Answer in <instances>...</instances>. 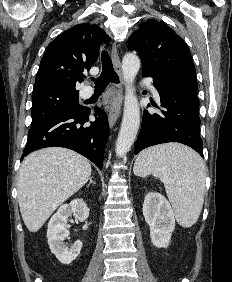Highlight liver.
I'll return each instance as SVG.
<instances>
[{"instance_id": "liver-1", "label": "liver", "mask_w": 232, "mask_h": 282, "mask_svg": "<svg viewBox=\"0 0 232 282\" xmlns=\"http://www.w3.org/2000/svg\"><path fill=\"white\" fill-rule=\"evenodd\" d=\"M91 172L85 157L66 148L50 147L29 154L21 164L17 185L28 230L38 231L59 205L87 183Z\"/></svg>"}]
</instances>
